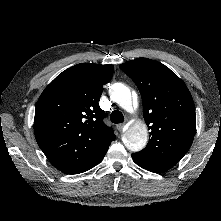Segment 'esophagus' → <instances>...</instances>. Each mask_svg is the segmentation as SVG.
Listing matches in <instances>:
<instances>
[{
	"instance_id": "esophagus-1",
	"label": "esophagus",
	"mask_w": 221,
	"mask_h": 221,
	"mask_svg": "<svg viewBox=\"0 0 221 221\" xmlns=\"http://www.w3.org/2000/svg\"><path fill=\"white\" fill-rule=\"evenodd\" d=\"M124 127H125V124H118V125H117V129H118L120 132L123 131Z\"/></svg>"
}]
</instances>
